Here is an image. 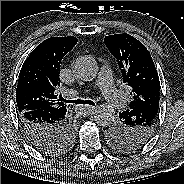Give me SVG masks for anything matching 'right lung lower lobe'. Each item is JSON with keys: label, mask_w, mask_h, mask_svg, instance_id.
Masks as SVG:
<instances>
[{"label": "right lung lower lobe", "mask_w": 184, "mask_h": 184, "mask_svg": "<svg viewBox=\"0 0 184 184\" xmlns=\"http://www.w3.org/2000/svg\"><path fill=\"white\" fill-rule=\"evenodd\" d=\"M65 114L27 111L19 114V120L29 141L36 149L41 150L58 147L67 130L74 129Z\"/></svg>", "instance_id": "obj_1"}]
</instances>
